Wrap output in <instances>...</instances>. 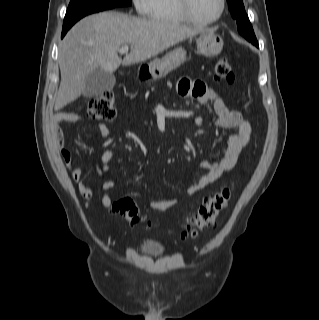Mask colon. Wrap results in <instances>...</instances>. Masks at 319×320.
<instances>
[{
	"instance_id": "colon-1",
	"label": "colon",
	"mask_w": 319,
	"mask_h": 320,
	"mask_svg": "<svg viewBox=\"0 0 319 320\" xmlns=\"http://www.w3.org/2000/svg\"><path fill=\"white\" fill-rule=\"evenodd\" d=\"M214 77L216 80L233 82L234 74L225 57L218 59L214 69ZM116 113L114 94L109 91L92 97L86 109L87 117L95 120L111 121L116 117ZM230 197L231 190L229 188H222L211 194L198 210L187 218L181 236H194L198 231L213 227L226 210ZM113 209L132 224L143 221L140 209L132 198L118 199L113 203Z\"/></svg>"
}]
</instances>
